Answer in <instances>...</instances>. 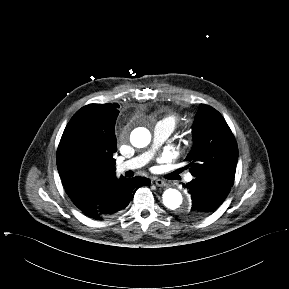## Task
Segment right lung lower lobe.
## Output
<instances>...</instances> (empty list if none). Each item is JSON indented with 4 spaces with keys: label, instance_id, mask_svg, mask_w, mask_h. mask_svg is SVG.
Here are the masks:
<instances>
[{
    "label": "right lung lower lobe",
    "instance_id": "obj_1",
    "mask_svg": "<svg viewBox=\"0 0 289 289\" xmlns=\"http://www.w3.org/2000/svg\"><path fill=\"white\" fill-rule=\"evenodd\" d=\"M149 183L150 180L144 177L120 179L101 192L99 204L95 209L82 212L97 220L115 215L128 206L134 193L141 185H148Z\"/></svg>",
    "mask_w": 289,
    "mask_h": 289
}]
</instances>
